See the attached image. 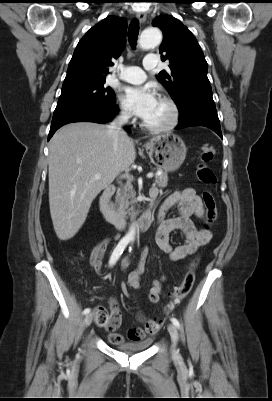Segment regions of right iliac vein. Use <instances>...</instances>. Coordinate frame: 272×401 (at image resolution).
<instances>
[{"label": "right iliac vein", "instance_id": "63e3f726", "mask_svg": "<svg viewBox=\"0 0 272 401\" xmlns=\"http://www.w3.org/2000/svg\"><path fill=\"white\" fill-rule=\"evenodd\" d=\"M92 320H93V315L92 314L86 315L85 318H84V326L88 327L92 323Z\"/></svg>", "mask_w": 272, "mask_h": 401}]
</instances>
